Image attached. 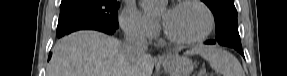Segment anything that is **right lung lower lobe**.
Instances as JSON below:
<instances>
[{
  "label": "right lung lower lobe",
  "instance_id": "obj_1",
  "mask_svg": "<svg viewBox=\"0 0 287 76\" xmlns=\"http://www.w3.org/2000/svg\"><path fill=\"white\" fill-rule=\"evenodd\" d=\"M81 29H92V30L102 31V32L107 33V34H113L116 31L117 28H109V27H104V26H95V27H88V28H81ZM78 30H80V29H78ZM74 31H76V30H74ZM71 32H73V31H71ZM71 32H69V33H71ZM69 33H66V34H69ZM66 34H64V35H66ZM64 35H62V36H64ZM62 36H59V38L62 37ZM51 55L52 54L50 53L48 59L51 58Z\"/></svg>",
  "mask_w": 287,
  "mask_h": 76
}]
</instances>
